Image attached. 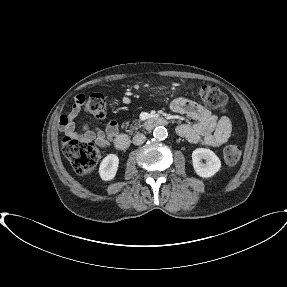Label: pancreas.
I'll return each mask as SVG.
<instances>
[{
    "instance_id": "cf45deb5",
    "label": "pancreas",
    "mask_w": 287,
    "mask_h": 287,
    "mask_svg": "<svg viewBox=\"0 0 287 287\" xmlns=\"http://www.w3.org/2000/svg\"><path fill=\"white\" fill-rule=\"evenodd\" d=\"M125 124H126V126H127V125H128V122H126ZM140 126H141V125H140V122H138V123L136 122V123H135V126H134L132 129H138Z\"/></svg>"
}]
</instances>
